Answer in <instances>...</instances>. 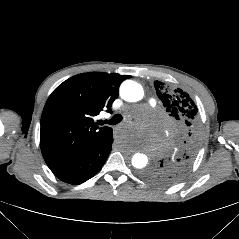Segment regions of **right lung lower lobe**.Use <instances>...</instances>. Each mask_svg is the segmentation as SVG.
<instances>
[{"label":"right lung lower lobe","mask_w":239,"mask_h":239,"mask_svg":"<svg viewBox=\"0 0 239 239\" xmlns=\"http://www.w3.org/2000/svg\"><path fill=\"white\" fill-rule=\"evenodd\" d=\"M112 128L101 135L83 152L49 167L63 182L80 184L96 175L104 165L113 143Z\"/></svg>","instance_id":"right-lung-lower-lobe-1"}]
</instances>
